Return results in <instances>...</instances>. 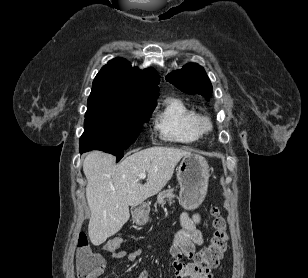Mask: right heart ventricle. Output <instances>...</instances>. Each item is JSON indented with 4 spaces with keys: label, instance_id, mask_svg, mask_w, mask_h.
<instances>
[{
    "label": "right heart ventricle",
    "instance_id": "obj_1",
    "mask_svg": "<svg viewBox=\"0 0 308 278\" xmlns=\"http://www.w3.org/2000/svg\"><path fill=\"white\" fill-rule=\"evenodd\" d=\"M197 115L181 99L167 98L155 117L154 127L166 141L191 144L201 137L194 127Z\"/></svg>",
    "mask_w": 308,
    "mask_h": 278
}]
</instances>
